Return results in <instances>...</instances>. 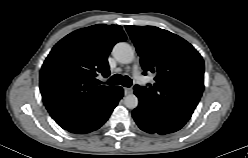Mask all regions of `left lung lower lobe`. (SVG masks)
<instances>
[{"label": "left lung lower lobe", "instance_id": "0a47b994", "mask_svg": "<svg viewBox=\"0 0 248 158\" xmlns=\"http://www.w3.org/2000/svg\"><path fill=\"white\" fill-rule=\"evenodd\" d=\"M132 115L140 129L151 134L158 133L164 135L173 133L184 126L163 115L143 100H140L138 107L133 110Z\"/></svg>", "mask_w": 248, "mask_h": 158}]
</instances>
